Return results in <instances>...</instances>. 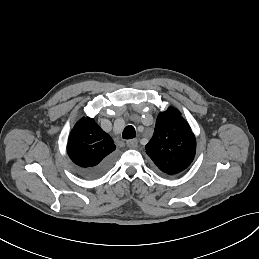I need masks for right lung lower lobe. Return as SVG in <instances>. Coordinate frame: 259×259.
Wrapping results in <instances>:
<instances>
[{"mask_svg": "<svg viewBox=\"0 0 259 259\" xmlns=\"http://www.w3.org/2000/svg\"><path fill=\"white\" fill-rule=\"evenodd\" d=\"M113 163H114V156L110 155L96 166L87 167V168L77 166L75 168V171L77 172V174H79L84 178H88V179L97 178L105 174L106 172H108L113 166Z\"/></svg>", "mask_w": 259, "mask_h": 259, "instance_id": "98d812e1", "label": "right lung lower lobe"}]
</instances>
